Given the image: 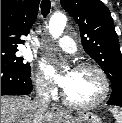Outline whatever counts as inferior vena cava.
<instances>
[{
    "label": "inferior vena cava",
    "mask_w": 122,
    "mask_h": 123,
    "mask_svg": "<svg viewBox=\"0 0 122 123\" xmlns=\"http://www.w3.org/2000/svg\"><path fill=\"white\" fill-rule=\"evenodd\" d=\"M37 96L34 99V106L37 112V116H42L50 104V90L44 83H37Z\"/></svg>",
    "instance_id": "1"
}]
</instances>
